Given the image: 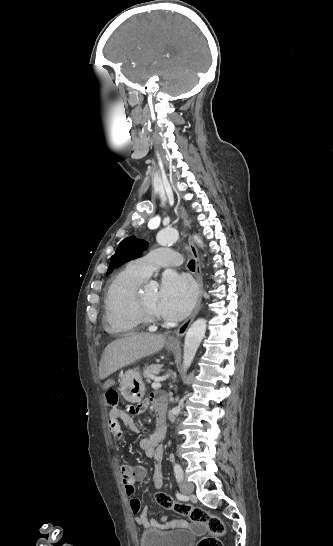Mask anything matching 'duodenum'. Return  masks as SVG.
I'll return each instance as SVG.
<instances>
[{
	"mask_svg": "<svg viewBox=\"0 0 333 546\" xmlns=\"http://www.w3.org/2000/svg\"><path fill=\"white\" fill-rule=\"evenodd\" d=\"M163 428H164V421H163L162 418L159 417V418H158V421H157L156 432L162 433Z\"/></svg>",
	"mask_w": 333,
	"mask_h": 546,
	"instance_id": "1",
	"label": "duodenum"
}]
</instances>
